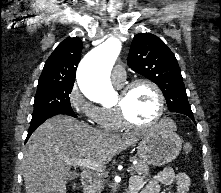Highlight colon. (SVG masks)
Returning <instances> with one entry per match:
<instances>
[{"label":"colon","mask_w":221,"mask_h":193,"mask_svg":"<svg viewBox=\"0 0 221 193\" xmlns=\"http://www.w3.org/2000/svg\"><path fill=\"white\" fill-rule=\"evenodd\" d=\"M184 150H185L186 152H190V151L192 150V145H191L190 143H186V144L184 145Z\"/></svg>","instance_id":"1"}]
</instances>
